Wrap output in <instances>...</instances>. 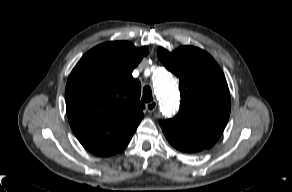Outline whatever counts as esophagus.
Masks as SVG:
<instances>
[{"instance_id": "obj_1", "label": "esophagus", "mask_w": 292, "mask_h": 192, "mask_svg": "<svg viewBox=\"0 0 292 192\" xmlns=\"http://www.w3.org/2000/svg\"><path fill=\"white\" fill-rule=\"evenodd\" d=\"M157 108V102L152 101L146 104V109L149 113H152Z\"/></svg>"}]
</instances>
